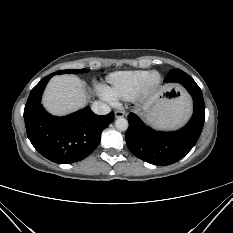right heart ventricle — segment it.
Listing matches in <instances>:
<instances>
[{
  "mask_svg": "<svg viewBox=\"0 0 233 233\" xmlns=\"http://www.w3.org/2000/svg\"><path fill=\"white\" fill-rule=\"evenodd\" d=\"M146 70L119 71L108 75L106 93L113 100L133 99L149 74Z\"/></svg>",
  "mask_w": 233,
  "mask_h": 233,
  "instance_id": "e07e8e85",
  "label": "right heart ventricle"
}]
</instances>
